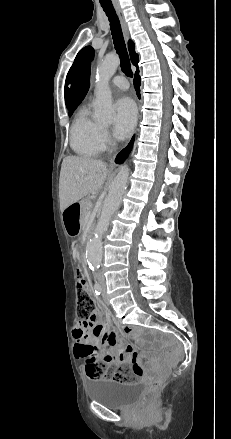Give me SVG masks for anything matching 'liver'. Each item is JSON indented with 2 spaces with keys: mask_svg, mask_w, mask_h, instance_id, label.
<instances>
[{
  "mask_svg": "<svg viewBox=\"0 0 231 439\" xmlns=\"http://www.w3.org/2000/svg\"><path fill=\"white\" fill-rule=\"evenodd\" d=\"M108 175L109 170L103 161L88 157H65L59 179L61 211L84 196L99 191Z\"/></svg>",
  "mask_w": 231,
  "mask_h": 439,
  "instance_id": "1",
  "label": "liver"
}]
</instances>
